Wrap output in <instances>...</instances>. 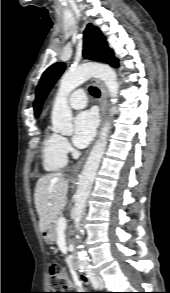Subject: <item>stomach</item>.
I'll list each match as a JSON object with an SVG mask.
<instances>
[{"label": "stomach", "instance_id": "0dacf381", "mask_svg": "<svg viewBox=\"0 0 170 293\" xmlns=\"http://www.w3.org/2000/svg\"><path fill=\"white\" fill-rule=\"evenodd\" d=\"M44 239H45L47 242H52V241H54V238H53V235H52V232H51L50 228L46 231V234L44 235Z\"/></svg>", "mask_w": 170, "mask_h": 293}]
</instances>
